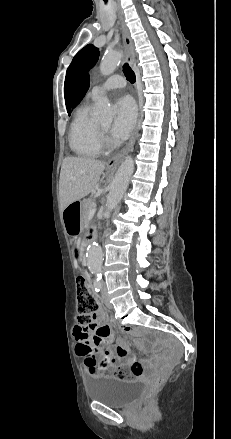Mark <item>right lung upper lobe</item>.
I'll list each match as a JSON object with an SVG mask.
<instances>
[{
	"instance_id": "cb5924a9",
	"label": "right lung upper lobe",
	"mask_w": 231,
	"mask_h": 439,
	"mask_svg": "<svg viewBox=\"0 0 231 439\" xmlns=\"http://www.w3.org/2000/svg\"><path fill=\"white\" fill-rule=\"evenodd\" d=\"M88 88H89V76L87 75L76 93L73 107H75L81 101V99L83 98V96L87 92Z\"/></svg>"
}]
</instances>
